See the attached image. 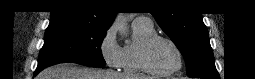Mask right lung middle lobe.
Returning a JSON list of instances; mask_svg holds the SVG:
<instances>
[{
    "label": "right lung middle lobe",
    "mask_w": 255,
    "mask_h": 79,
    "mask_svg": "<svg viewBox=\"0 0 255 79\" xmlns=\"http://www.w3.org/2000/svg\"><path fill=\"white\" fill-rule=\"evenodd\" d=\"M107 28L81 26L69 23L50 24L39 54L38 69L72 62L90 67L104 66L101 44Z\"/></svg>",
    "instance_id": "1"
}]
</instances>
